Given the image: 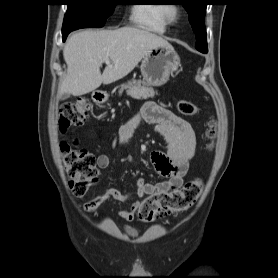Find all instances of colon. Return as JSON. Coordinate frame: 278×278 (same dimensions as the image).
Listing matches in <instances>:
<instances>
[{"instance_id": "colon-1", "label": "colon", "mask_w": 278, "mask_h": 278, "mask_svg": "<svg viewBox=\"0 0 278 278\" xmlns=\"http://www.w3.org/2000/svg\"><path fill=\"white\" fill-rule=\"evenodd\" d=\"M177 107L185 116H194L199 112L198 106L189 100H180ZM89 110L90 104L85 98L62 104L58 111L60 130L66 132L83 125ZM207 137L210 140L209 147H212L216 137L215 120L209 122ZM60 148L65 171L69 177V188L75 196L82 198L98 180L96 158L89 151L79 148L77 141H63ZM201 192L202 182L197 179L186 183L181 189L150 195L139 207V219L152 222L165 214L186 211L198 200Z\"/></svg>"}]
</instances>
